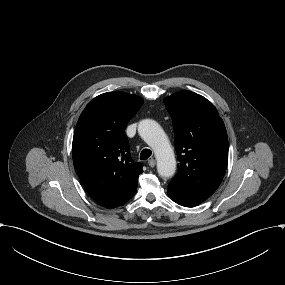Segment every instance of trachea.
<instances>
[{
    "mask_svg": "<svg viewBox=\"0 0 285 285\" xmlns=\"http://www.w3.org/2000/svg\"><path fill=\"white\" fill-rule=\"evenodd\" d=\"M152 154V151L150 149H144L141 151L140 154V160H146L148 159Z\"/></svg>",
    "mask_w": 285,
    "mask_h": 285,
    "instance_id": "trachea-1",
    "label": "trachea"
}]
</instances>
